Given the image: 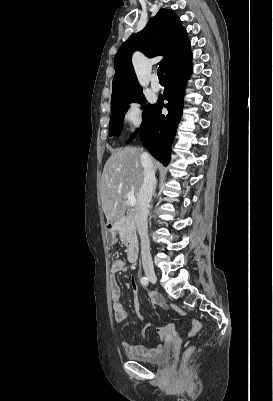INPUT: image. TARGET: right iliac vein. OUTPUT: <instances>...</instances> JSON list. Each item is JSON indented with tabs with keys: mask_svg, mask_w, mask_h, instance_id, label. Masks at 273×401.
I'll use <instances>...</instances> for the list:
<instances>
[{
	"mask_svg": "<svg viewBox=\"0 0 273 401\" xmlns=\"http://www.w3.org/2000/svg\"><path fill=\"white\" fill-rule=\"evenodd\" d=\"M144 272L150 282L156 283L157 277H156V274H155V271H154V268L152 265H145Z\"/></svg>",
	"mask_w": 273,
	"mask_h": 401,
	"instance_id": "obj_1",
	"label": "right iliac vein"
}]
</instances>
